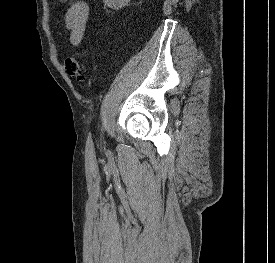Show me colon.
Here are the masks:
<instances>
[{"label": "colon", "instance_id": "obj_1", "mask_svg": "<svg viewBox=\"0 0 275 263\" xmlns=\"http://www.w3.org/2000/svg\"><path fill=\"white\" fill-rule=\"evenodd\" d=\"M64 69L67 75L76 79L78 82H83L85 80L80 59L77 56H68L64 61Z\"/></svg>", "mask_w": 275, "mask_h": 263}]
</instances>
